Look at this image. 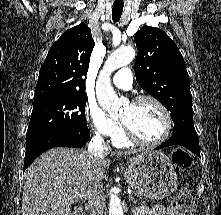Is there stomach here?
<instances>
[{"label":"stomach","mask_w":221,"mask_h":215,"mask_svg":"<svg viewBox=\"0 0 221 215\" xmlns=\"http://www.w3.org/2000/svg\"><path fill=\"white\" fill-rule=\"evenodd\" d=\"M124 178L139 194L153 200L166 198L177 188L172 160L160 151H146L129 158Z\"/></svg>","instance_id":"obj_1"}]
</instances>
